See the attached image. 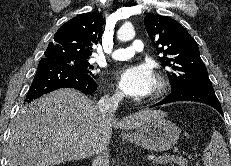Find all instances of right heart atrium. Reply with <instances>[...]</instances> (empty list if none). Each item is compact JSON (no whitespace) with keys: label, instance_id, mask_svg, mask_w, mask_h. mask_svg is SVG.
Masks as SVG:
<instances>
[{"label":"right heart atrium","instance_id":"obj_1","mask_svg":"<svg viewBox=\"0 0 231 166\" xmlns=\"http://www.w3.org/2000/svg\"><path fill=\"white\" fill-rule=\"evenodd\" d=\"M113 97H114V98H118V97H119V93H118V92H115V93L113 94Z\"/></svg>","mask_w":231,"mask_h":166}]
</instances>
